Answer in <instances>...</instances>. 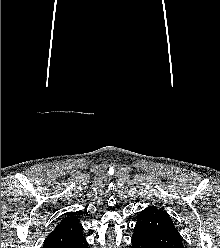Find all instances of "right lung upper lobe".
Here are the masks:
<instances>
[{
	"instance_id": "right-lung-upper-lobe-1",
	"label": "right lung upper lobe",
	"mask_w": 220,
	"mask_h": 248,
	"mask_svg": "<svg viewBox=\"0 0 220 248\" xmlns=\"http://www.w3.org/2000/svg\"><path fill=\"white\" fill-rule=\"evenodd\" d=\"M83 230L75 213H69L46 238L43 248H62L84 239Z\"/></svg>"
}]
</instances>
